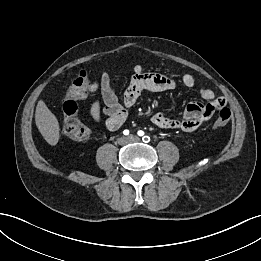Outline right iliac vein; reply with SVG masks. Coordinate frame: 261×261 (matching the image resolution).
<instances>
[{"label":"right iliac vein","instance_id":"obj_1","mask_svg":"<svg viewBox=\"0 0 261 261\" xmlns=\"http://www.w3.org/2000/svg\"><path fill=\"white\" fill-rule=\"evenodd\" d=\"M127 141H128V138H126V137H121V138L118 139V143L121 144V145L126 144Z\"/></svg>","mask_w":261,"mask_h":261}]
</instances>
